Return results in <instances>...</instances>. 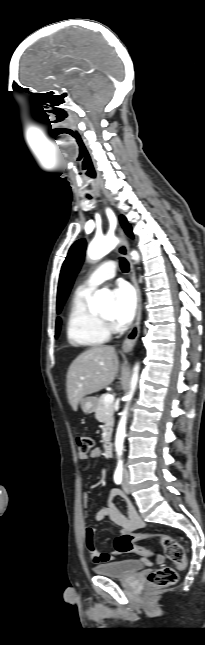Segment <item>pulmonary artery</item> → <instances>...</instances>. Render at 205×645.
I'll use <instances>...</instances> for the list:
<instances>
[{"instance_id":"pulmonary-artery-1","label":"pulmonary artery","mask_w":205,"mask_h":645,"mask_svg":"<svg viewBox=\"0 0 205 645\" xmlns=\"http://www.w3.org/2000/svg\"><path fill=\"white\" fill-rule=\"evenodd\" d=\"M116 275V265L113 261H106L101 264L78 289L92 292L103 282L112 279Z\"/></svg>"}]
</instances>
